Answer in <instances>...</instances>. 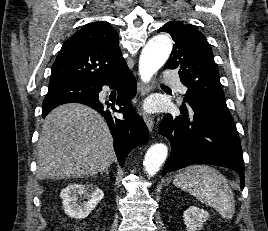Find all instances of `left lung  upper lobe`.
<instances>
[{
  "label": "left lung upper lobe",
  "mask_w": 268,
  "mask_h": 231,
  "mask_svg": "<svg viewBox=\"0 0 268 231\" xmlns=\"http://www.w3.org/2000/svg\"><path fill=\"white\" fill-rule=\"evenodd\" d=\"M158 32L169 33L174 40L164 69L179 70L181 82L188 88L184 98L186 104L183 102L180 108L197 107L234 123L205 36L192 25L180 21L168 22Z\"/></svg>",
  "instance_id": "1"
}]
</instances>
